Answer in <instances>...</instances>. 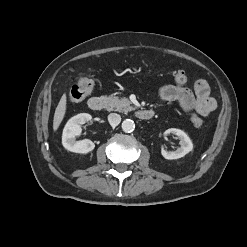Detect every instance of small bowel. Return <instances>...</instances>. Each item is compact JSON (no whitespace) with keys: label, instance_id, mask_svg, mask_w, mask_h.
I'll use <instances>...</instances> for the list:
<instances>
[{"label":"small bowel","instance_id":"c3829d8e","mask_svg":"<svg viewBox=\"0 0 247 247\" xmlns=\"http://www.w3.org/2000/svg\"><path fill=\"white\" fill-rule=\"evenodd\" d=\"M159 102H177L185 112H196L202 116H208L216 108V100L210 96L208 83L197 80L194 92L176 84L163 86L158 94Z\"/></svg>","mask_w":247,"mask_h":247}]
</instances>
